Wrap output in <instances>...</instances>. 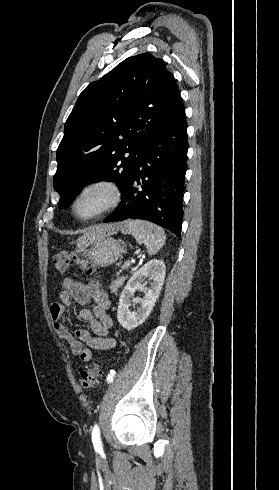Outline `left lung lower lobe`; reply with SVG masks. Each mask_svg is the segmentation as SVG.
Segmentation results:
<instances>
[{"instance_id": "obj_1", "label": "left lung lower lobe", "mask_w": 279, "mask_h": 490, "mask_svg": "<svg viewBox=\"0 0 279 490\" xmlns=\"http://www.w3.org/2000/svg\"><path fill=\"white\" fill-rule=\"evenodd\" d=\"M187 150V125L181 101L147 138L128 177L120 206L104 222L148 220L180 238Z\"/></svg>"}]
</instances>
